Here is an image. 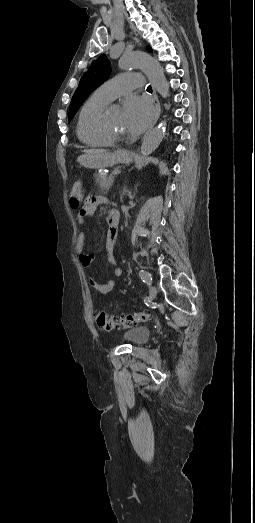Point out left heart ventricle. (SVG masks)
<instances>
[{"instance_id": "left-heart-ventricle-1", "label": "left heart ventricle", "mask_w": 255, "mask_h": 523, "mask_svg": "<svg viewBox=\"0 0 255 523\" xmlns=\"http://www.w3.org/2000/svg\"><path fill=\"white\" fill-rule=\"evenodd\" d=\"M108 120L113 131L122 138H131L133 136L128 120L123 110L112 109L109 110Z\"/></svg>"}]
</instances>
